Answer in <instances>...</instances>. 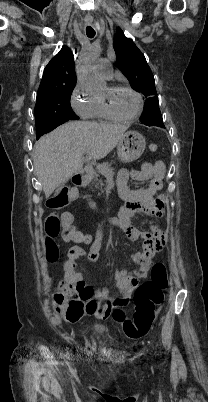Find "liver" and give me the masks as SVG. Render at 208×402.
<instances>
[{
  "mask_svg": "<svg viewBox=\"0 0 208 402\" xmlns=\"http://www.w3.org/2000/svg\"><path fill=\"white\" fill-rule=\"evenodd\" d=\"M129 126L68 122L42 136L34 146V172L46 198L83 168L82 154L91 160L105 158L124 138Z\"/></svg>",
  "mask_w": 208,
  "mask_h": 402,
  "instance_id": "6515ba94",
  "label": "liver"
}]
</instances>
